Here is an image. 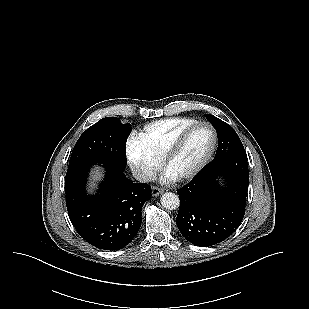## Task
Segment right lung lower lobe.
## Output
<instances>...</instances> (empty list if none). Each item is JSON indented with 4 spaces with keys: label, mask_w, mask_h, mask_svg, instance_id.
Listing matches in <instances>:
<instances>
[{
    "label": "right lung lower lobe",
    "mask_w": 309,
    "mask_h": 309,
    "mask_svg": "<svg viewBox=\"0 0 309 309\" xmlns=\"http://www.w3.org/2000/svg\"><path fill=\"white\" fill-rule=\"evenodd\" d=\"M94 163H83L67 170L66 205L78 234L89 244L103 250H120L136 236L141 226L142 205L151 199V187L133 183L124 170L104 166L106 177L93 196L85 184Z\"/></svg>",
    "instance_id": "98d812e1"
}]
</instances>
